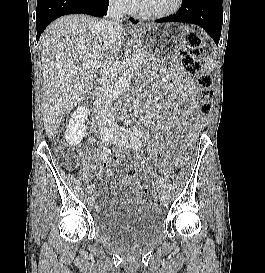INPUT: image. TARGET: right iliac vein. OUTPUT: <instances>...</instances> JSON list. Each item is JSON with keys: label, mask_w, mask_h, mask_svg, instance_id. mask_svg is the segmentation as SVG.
<instances>
[{"label": "right iliac vein", "mask_w": 265, "mask_h": 273, "mask_svg": "<svg viewBox=\"0 0 265 273\" xmlns=\"http://www.w3.org/2000/svg\"><path fill=\"white\" fill-rule=\"evenodd\" d=\"M114 140H115V138L113 137V135L111 133H109L108 135L105 136L104 143L106 145H110L112 142H114ZM87 203L90 206L94 204V196L93 195L88 196Z\"/></svg>", "instance_id": "1"}]
</instances>
